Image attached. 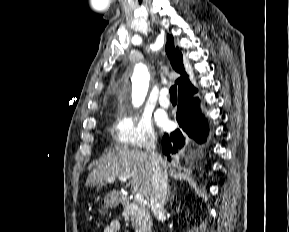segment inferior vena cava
I'll list each match as a JSON object with an SVG mask.
<instances>
[{
	"label": "inferior vena cava",
	"instance_id": "inferior-vena-cava-1",
	"mask_svg": "<svg viewBox=\"0 0 289 232\" xmlns=\"http://www.w3.org/2000/svg\"><path fill=\"white\" fill-rule=\"evenodd\" d=\"M147 152L153 167L150 207L154 215H158L164 211L168 175L163 159L156 150V144L154 141L149 144Z\"/></svg>",
	"mask_w": 289,
	"mask_h": 232
}]
</instances>
